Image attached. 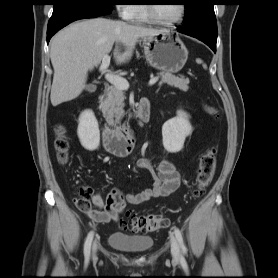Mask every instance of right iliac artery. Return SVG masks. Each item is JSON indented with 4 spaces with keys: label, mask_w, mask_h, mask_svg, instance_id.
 <instances>
[{
    "label": "right iliac artery",
    "mask_w": 278,
    "mask_h": 278,
    "mask_svg": "<svg viewBox=\"0 0 278 278\" xmlns=\"http://www.w3.org/2000/svg\"><path fill=\"white\" fill-rule=\"evenodd\" d=\"M93 232H89V234L87 235L85 244H84V256L86 259H89L90 256V249H91V243L93 240Z\"/></svg>",
    "instance_id": "1"
}]
</instances>
